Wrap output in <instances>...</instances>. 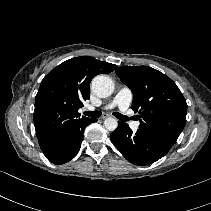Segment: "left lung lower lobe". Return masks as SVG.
<instances>
[{"label": "left lung lower lobe", "mask_w": 211, "mask_h": 211, "mask_svg": "<svg viewBox=\"0 0 211 211\" xmlns=\"http://www.w3.org/2000/svg\"><path fill=\"white\" fill-rule=\"evenodd\" d=\"M110 139L129 162L139 166L152 164L168 152L142 131L134 133L121 121H118V127L110 135Z\"/></svg>", "instance_id": "0a47b994"}]
</instances>
